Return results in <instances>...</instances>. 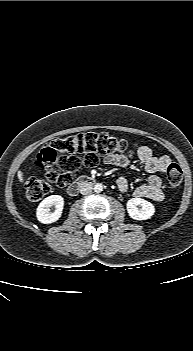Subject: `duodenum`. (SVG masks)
<instances>
[{"instance_id": "duodenum-1", "label": "duodenum", "mask_w": 193, "mask_h": 351, "mask_svg": "<svg viewBox=\"0 0 193 351\" xmlns=\"http://www.w3.org/2000/svg\"><path fill=\"white\" fill-rule=\"evenodd\" d=\"M94 181L95 179L91 176H80L68 187L67 194L75 196L81 187L92 184Z\"/></svg>"}]
</instances>
